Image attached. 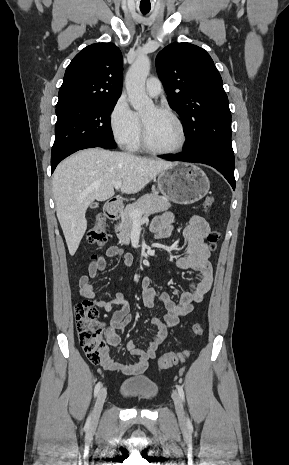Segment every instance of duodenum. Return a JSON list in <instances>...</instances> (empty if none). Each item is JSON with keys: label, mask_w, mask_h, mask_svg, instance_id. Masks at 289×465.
<instances>
[{"label": "duodenum", "mask_w": 289, "mask_h": 465, "mask_svg": "<svg viewBox=\"0 0 289 465\" xmlns=\"http://www.w3.org/2000/svg\"><path fill=\"white\" fill-rule=\"evenodd\" d=\"M121 211V201L119 199H111L105 207V214L108 219L116 220Z\"/></svg>", "instance_id": "duodenum-1"}]
</instances>
